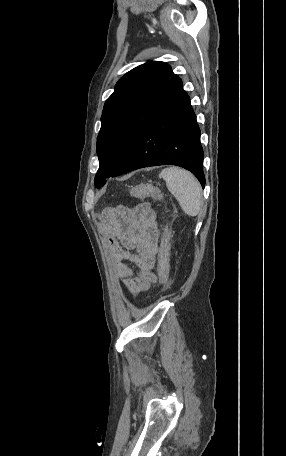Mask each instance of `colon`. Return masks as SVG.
I'll list each match as a JSON object with an SVG mask.
<instances>
[{"label":"colon","mask_w":286,"mask_h":456,"mask_svg":"<svg viewBox=\"0 0 286 456\" xmlns=\"http://www.w3.org/2000/svg\"><path fill=\"white\" fill-rule=\"evenodd\" d=\"M160 193L157 186L151 184H139L130 189V195L134 197H156ZM159 283L166 287L169 283V244L168 235H165L163 244L159 251L158 261Z\"/></svg>","instance_id":"colon-1"}]
</instances>
